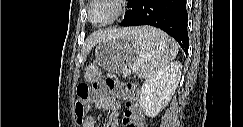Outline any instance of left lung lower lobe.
<instances>
[{
	"instance_id": "left-lung-lower-lobe-1",
	"label": "left lung lower lobe",
	"mask_w": 243,
	"mask_h": 127,
	"mask_svg": "<svg viewBox=\"0 0 243 127\" xmlns=\"http://www.w3.org/2000/svg\"><path fill=\"white\" fill-rule=\"evenodd\" d=\"M121 26L151 25L171 35L188 52L186 0H133Z\"/></svg>"
}]
</instances>
